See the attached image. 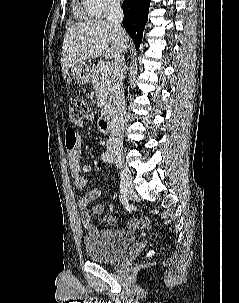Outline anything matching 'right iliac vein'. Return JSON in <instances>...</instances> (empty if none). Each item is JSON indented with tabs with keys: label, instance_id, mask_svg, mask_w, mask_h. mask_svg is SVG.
<instances>
[{
	"label": "right iliac vein",
	"instance_id": "1",
	"mask_svg": "<svg viewBox=\"0 0 239 303\" xmlns=\"http://www.w3.org/2000/svg\"><path fill=\"white\" fill-rule=\"evenodd\" d=\"M112 159L118 165V167L120 168V171H126V176H124L125 180H126L125 184L127 185L129 195L131 197H135V192L133 191V188H132V176H131L129 168L125 164L124 158L120 155H117V156H114Z\"/></svg>",
	"mask_w": 239,
	"mask_h": 303
}]
</instances>
